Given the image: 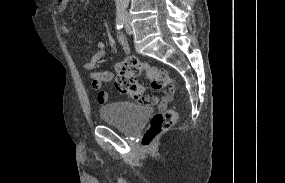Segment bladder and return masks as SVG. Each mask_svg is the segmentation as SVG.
I'll return each instance as SVG.
<instances>
[{
    "mask_svg": "<svg viewBox=\"0 0 285 183\" xmlns=\"http://www.w3.org/2000/svg\"><path fill=\"white\" fill-rule=\"evenodd\" d=\"M151 114L152 108L149 105L126 102L108 103L100 108L103 122L117 125L127 132L136 130Z\"/></svg>",
    "mask_w": 285,
    "mask_h": 183,
    "instance_id": "31cf9c89",
    "label": "bladder"
}]
</instances>
